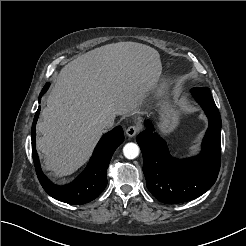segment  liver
Instances as JSON below:
<instances>
[{
    "label": "liver",
    "mask_w": 246,
    "mask_h": 246,
    "mask_svg": "<svg viewBox=\"0 0 246 246\" xmlns=\"http://www.w3.org/2000/svg\"><path fill=\"white\" fill-rule=\"evenodd\" d=\"M161 69L157 50L130 41L95 48L64 66L37 124L44 169L62 177L80 168L102 135L101 118L139 119Z\"/></svg>",
    "instance_id": "liver-1"
}]
</instances>
